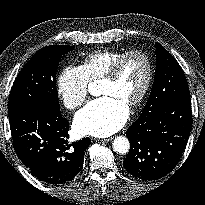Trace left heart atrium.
Returning a JSON list of instances; mask_svg holds the SVG:
<instances>
[{
  "label": "left heart atrium",
  "instance_id": "1",
  "mask_svg": "<svg viewBox=\"0 0 205 205\" xmlns=\"http://www.w3.org/2000/svg\"><path fill=\"white\" fill-rule=\"evenodd\" d=\"M128 108L121 100L105 95L90 101L75 116L74 126L82 135L104 137L118 131L126 122Z\"/></svg>",
  "mask_w": 205,
  "mask_h": 205
}]
</instances>
